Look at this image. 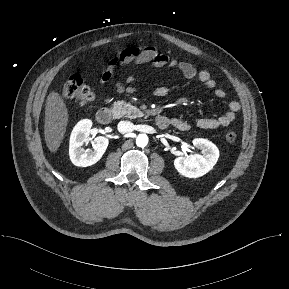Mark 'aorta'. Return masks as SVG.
<instances>
[{
    "label": "aorta",
    "mask_w": 289,
    "mask_h": 289,
    "mask_svg": "<svg viewBox=\"0 0 289 289\" xmlns=\"http://www.w3.org/2000/svg\"><path fill=\"white\" fill-rule=\"evenodd\" d=\"M136 144L139 147H145L148 144V136L146 134H139L136 138Z\"/></svg>",
    "instance_id": "762f6f07"
}]
</instances>
